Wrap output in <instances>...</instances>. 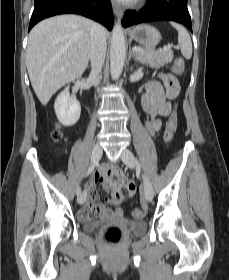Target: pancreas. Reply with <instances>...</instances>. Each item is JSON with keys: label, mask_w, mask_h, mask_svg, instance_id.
Here are the masks:
<instances>
[{"label": "pancreas", "mask_w": 229, "mask_h": 280, "mask_svg": "<svg viewBox=\"0 0 229 280\" xmlns=\"http://www.w3.org/2000/svg\"><path fill=\"white\" fill-rule=\"evenodd\" d=\"M134 57L143 64H149L152 67H163L170 63L173 58V52L170 49H159L157 51L141 48L140 52H135Z\"/></svg>", "instance_id": "cf45deb5"}]
</instances>
